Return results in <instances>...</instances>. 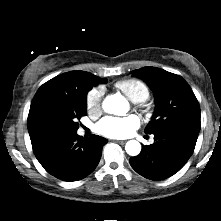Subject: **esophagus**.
I'll use <instances>...</instances> for the list:
<instances>
[{
	"label": "esophagus",
	"instance_id": "34e87169",
	"mask_svg": "<svg viewBox=\"0 0 221 221\" xmlns=\"http://www.w3.org/2000/svg\"><path fill=\"white\" fill-rule=\"evenodd\" d=\"M117 142H118V143H121V144H124L126 141H124V140H118Z\"/></svg>",
	"mask_w": 221,
	"mask_h": 221
}]
</instances>
